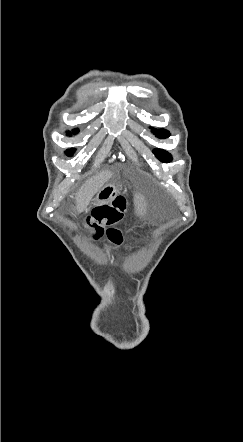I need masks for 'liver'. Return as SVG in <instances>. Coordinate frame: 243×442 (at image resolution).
<instances>
[{"mask_svg": "<svg viewBox=\"0 0 243 442\" xmlns=\"http://www.w3.org/2000/svg\"><path fill=\"white\" fill-rule=\"evenodd\" d=\"M110 171H104L88 179L76 193V210L78 213L87 209L93 196L97 194L104 184L112 177Z\"/></svg>", "mask_w": 243, "mask_h": 442, "instance_id": "1", "label": "liver"}]
</instances>
